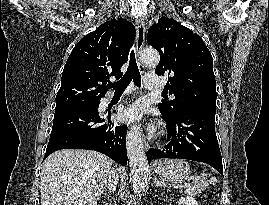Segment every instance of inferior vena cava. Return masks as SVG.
<instances>
[{"label": "inferior vena cava", "instance_id": "602c4592", "mask_svg": "<svg viewBox=\"0 0 269 205\" xmlns=\"http://www.w3.org/2000/svg\"><path fill=\"white\" fill-rule=\"evenodd\" d=\"M118 184V174L115 171V169L110 170L109 176H108V191L114 192L116 190V186Z\"/></svg>", "mask_w": 269, "mask_h": 205}]
</instances>
